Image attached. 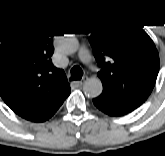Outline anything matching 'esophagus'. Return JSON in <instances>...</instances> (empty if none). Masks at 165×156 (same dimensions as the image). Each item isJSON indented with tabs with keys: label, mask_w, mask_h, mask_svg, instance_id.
<instances>
[{
	"label": "esophagus",
	"mask_w": 165,
	"mask_h": 156,
	"mask_svg": "<svg viewBox=\"0 0 165 156\" xmlns=\"http://www.w3.org/2000/svg\"><path fill=\"white\" fill-rule=\"evenodd\" d=\"M84 81H85V79L80 80V81H76V84H77L78 86H82V85L84 84Z\"/></svg>",
	"instance_id": "obj_1"
}]
</instances>
